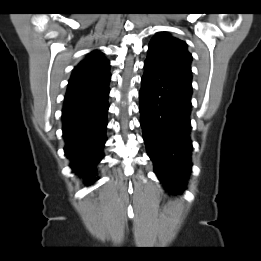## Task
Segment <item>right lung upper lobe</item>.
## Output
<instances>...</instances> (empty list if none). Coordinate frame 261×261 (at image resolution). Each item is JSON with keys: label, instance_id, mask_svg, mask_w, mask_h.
<instances>
[{"label": "right lung upper lobe", "instance_id": "obj_1", "mask_svg": "<svg viewBox=\"0 0 261 261\" xmlns=\"http://www.w3.org/2000/svg\"><path fill=\"white\" fill-rule=\"evenodd\" d=\"M109 62L100 51H92L74 68L68 83V93L86 91L109 83Z\"/></svg>", "mask_w": 261, "mask_h": 261}]
</instances>
